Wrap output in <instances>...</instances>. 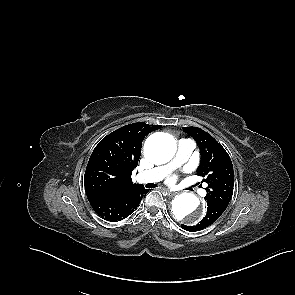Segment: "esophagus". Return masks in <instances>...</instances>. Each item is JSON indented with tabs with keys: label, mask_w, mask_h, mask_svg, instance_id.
Returning a JSON list of instances; mask_svg holds the SVG:
<instances>
[{
	"label": "esophagus",
	"mask_w": 295,
	"mask_h": 295,
	"mask_svg": "<svg viewBox=\"0 0 295 295\" xmlns=\"http://www.w3.org/2000/svg\"><path fill=\"white\" fill-rule=\"evenodd\" d=\"M164 192L166 193V195H168L170 197H172V196H174L176 194V192H172V191H169L167 189H164Z\"/></svg>",
	"instance_id": "esophagus-1"
}]
</instances>
